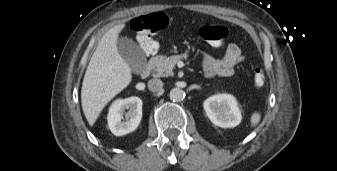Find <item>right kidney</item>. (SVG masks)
<instances>
[{"mask_svg": "<svg viewBox=\"0 0 337 171\" xmlns=\"http://www.w3.org/2000/svg\"><path fill=\"white\" fill-rule=\"evenodd\" d=\"M125 110H129L125 112ZM125 117V119H124ZM142 118V100L136 96L113 102L107 117L108 126L116 136L134 131Z\"/></svg>", "mask_w": 337, "mask_h": 171, "instance_id": "ca27d5eb", "label": "right kidney"}]
</instances>
